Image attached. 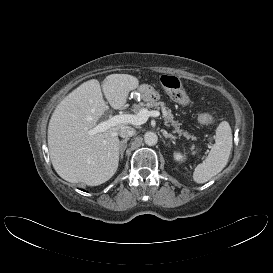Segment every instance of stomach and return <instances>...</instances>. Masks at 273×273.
I'll return each mask as SVG.
<instances>
[{
  "mask_svg": "<svg viewBox=\"0 0 273 273\" xmlns=\"http://www.w3.org/2000/svg\"><path fill=\"white\" fill-rule=\"evenodd\" d=\"M156 97V92L149 85H141L138 90L134 93L135 99H141L146 102H154Z\"/></svg>",
  "mask_w": 273,
  "mask_h": 273,
  "instance_id": "0dacf381",
  "label": "stomach"
}]
</instances>
